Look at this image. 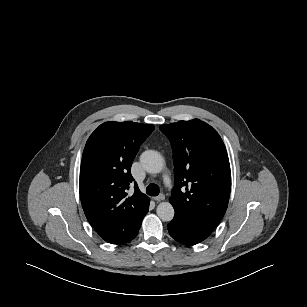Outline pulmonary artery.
I'll return each mask as SVG.
<instances>
[{
    "label": "pulmonary artery",
    "instance_id": "obj_1",
    "mask_svg": "<svg viewBox=\"0 0 307 307\" xmlns=\"http://www.w3.org/2000/svg\"><path fill=\"white\" fill-rule=\"evenodd\" d=\"M165 181H166L167 184H169V183H170V178H169V177H166V178H165Z\"/></svg>",
    "mask_w": 307,
    "mask_h": 307
}]
</instances>
